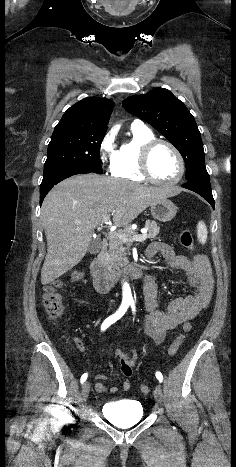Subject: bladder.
Instances as JSON below:
<instances>
[{"label": "bladder", "mask_w": 236, "mask_h": 467, "mask_svg": "<svg viewBox=\"0 0 236 467\" xmlns=\"http://www.w3.org/2000/svg\"><path fill=\"white\" fill-rule=\"evenodd\" d=\"M101 413L114 425L125 427L141 421L144 410L139 401L122 399L107 402L101 409Z\"/></svg>", "instance_id": "31cf9c89"}]
</instances>
